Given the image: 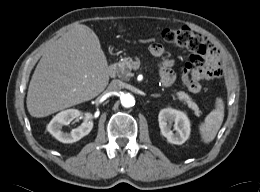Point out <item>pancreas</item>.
<instances>
[{
  "label": "pancreas",
  "mask_w": 260,
  "mask_h": 192,
  "mask_svg": "<svg viewBox=\"0 0 260 192\" xmlns=\"http://www.w3.org/2000/svg\"><path fill=\"white\" fill-rule=\"evenodd\" d=\"M132 58L130 57H125L123 58L120 62L116 64V74L119 78L122 80H129L130 77L133 76L132 71ZM178 99L183 102L185 105H187L189 108H191L194 111V114L196 116L201 115V111L199 110L198 105L191 99V97L183 92L179 91L175 93Z\"/></svg>",
  "instance_id": "1"
}]
</instances>
